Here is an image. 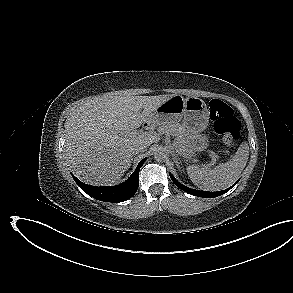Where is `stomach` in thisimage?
Masks as SVG:
<instances>
[{
    "instance_id": "stomach-1",
    "label": "stomach",
    "mask_w": 293,
    "mask_h": 293,
    "mask_svg": "<svg viewBox=\"0 0 293 293\" xmlns=\"http://www.w3.org/2000/svg\"><path fill=\"white\" fill-rule=\"evenodd\" d=\"M152 119L157 125L183 119L194 152L207 149L209 139L202 132L209 123V109L204 100L195 96L184 98L181 95H175L152 112Z\"/></svg>"
}]
</instances>
